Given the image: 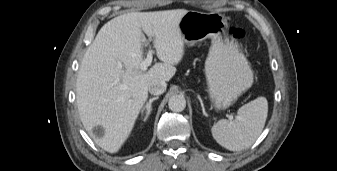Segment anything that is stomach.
<instances>
[{
	"instance_id": "stomach-1",
	"label": "stomach",
	"mask_w": 337,
	"mask_h": 171,
	"mask_svg": "<svg viewBox=\"0 0 337 171\" xmlns=\"http://www.w3.org/2000/svg\"><path fill=\"white\" fill-rule=\"evenodd\" d=\"M227 18L220 13L188 11L179 23L183 41L193 46L207 38L212 44L205 62L211 102L230 107L253 83V71L237 42L227 36Z\"/></svg>"
}]
</instances>
